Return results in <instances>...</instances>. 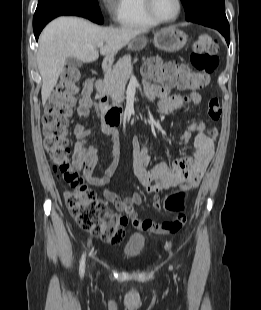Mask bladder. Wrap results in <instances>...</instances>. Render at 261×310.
Returning <instances> with one entry per match:
<instances>
[{"label":"bladder","mask_w":261,"mask_h":310,"mask_svg":"<svg viewBox=\"0 0 261 310\" xmlns=\"http://www.w3.org/2000/svg\"><path fill=\"white\" fill-rule=\"evenodd\" d=\"M145 243L146 238L143 234H133L123 249L124 255L127 257H136L140 255L144 250Z\"/></svg>","instance_id":"bladder-1"}]
</instances>
